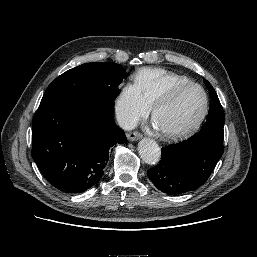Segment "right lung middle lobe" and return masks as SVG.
Wrapping results in <instances>:
<instances>
[{
  "instance_id": "right-lung-middle-lobe-1",
  "label": "right lung middle lobe",
  "mask_w": 257,
  "mask_h": 257,
  "mask_svg": "<svg viewBox=\"0 0 257 257\" xmlns=\"http://www.w3.org/2000/svg\"><path fill=\"white\" fill-rule=\"evenodd\" d=\"M126 75L122 66L111 62L85 63L58 76L46 89L40 104L62 98H97L114 105L118 86Z\"/></svg>"
}]
</instances>
